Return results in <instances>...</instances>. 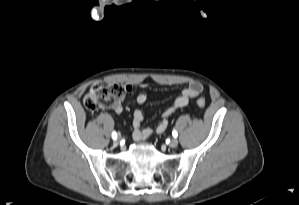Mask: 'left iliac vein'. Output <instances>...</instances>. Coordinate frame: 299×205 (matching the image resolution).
Wrapping results in <instances>:
<instances>
[{"label":"left iliac vein","instance_id":"obj_1","mask_svg":"<svg viewBox=\"0 0 299 205\" xmlns=\"http://www.w3.org/2000/svg\"><path fill=\"white\" fill-rule=\"evenodd\" d=\"M177 145H178V139L177 138H172V140L170 141V144H169V146L171 147V148H175V147H177Z\"/></svg>","mask_w":299,"mask_h":205}]
</instances>
